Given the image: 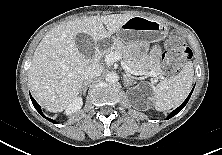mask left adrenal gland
Segmentation results:
<instances>
[{
  "instance_id": "a2214340",
  "label": "left adrenal gland",
  "mask_w": 222,
  "mask_h": 155,
  "mask_svg": "<svg viewBox=\"0 0 222 155\" xmlns=\"http://www.w3.org/2000/svg\"><path fill=\"white\" fill-rule=\"evenodd\" d=\"M124 80H125L126 86H128L129 78L126 75H124Z\"/></svg>"
}]
</instances>
